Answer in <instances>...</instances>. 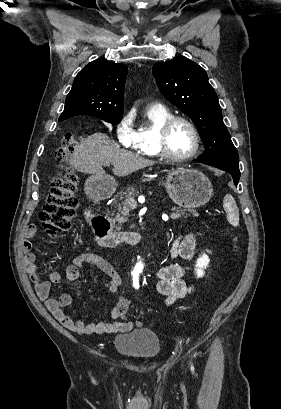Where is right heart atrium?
Instances as JSON below:
<instances>
[{
	"instance_id": "d8ad5b80",
	"label": "right heart atrium",
	"mask_w": 281,
	"mask_h": 409,
	"mask_svg": "<svg viewBox=\"0 0 281 409\" xmlns=\"http://www.w3.org/2000/svg\"><path fill=\"white\" fill-rule=\"evenodd\" d=\"M132 120L120 119L115 128L118 141L126 148H131L134 142L135 131L132 128Z\"/></svg>"
}]
</instances>
